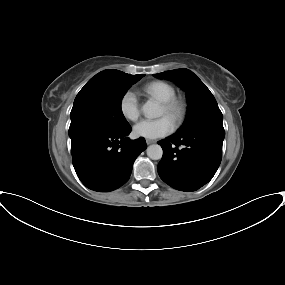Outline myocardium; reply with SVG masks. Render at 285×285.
Listing matches in <instances>:
<instances>
[{"mask_svg":"<svg viewBox=\"0 0 285 285\" xmlns=\"http://www.w3.org/2000/svg\"><path fill=\"white\" fill-rule=\"evenodd\" d=\"M162 106L176 125H180L185 120L189 107L185 98L176 95L162 102Z\"/></svg>","mask_w":285,"mask_h":285,"instance_id":"obj_1","label":"myocardium"}]
</instances>
